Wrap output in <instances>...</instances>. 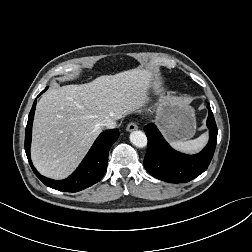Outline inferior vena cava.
I'll list each match as a JSON object with an SVG mask.
<instances>
[{
    "mask_svg": "<svg viewBox=\"0 0 252 252\" xmlns=\"http://www.w3.org/2000/svg\"><path fill=\"white\" fill-rule=\"evenodd\" d=\"M102 126L108 129H113L117 126V123H116V120L114 119H106L102 122Z\"/></svg>",
    "mask_w": 252,
    "mask_h": 252,
    "instance_id": "1",
    "label": "inferior vena cava"
}]
</instances>
